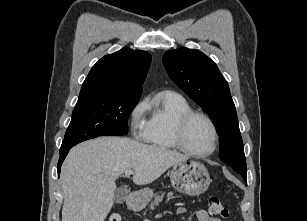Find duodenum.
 <instances>
[{"label": "duodenum", "mask_w": 307, "mask_h": 221, "mask_svg": "<svg viewBox=\"0 0 307 221\" xmlns=\"http://www.w3.org/2000/svg\"><path fill=\"white\" fill-rule=\"evenodd\" d=\"M141 198L139 195L132 194L129 198L128 204L129 207L133 210H137L140 208Z\"/></svg>", "instance_id": "duodenum-1"}]
</instances>
